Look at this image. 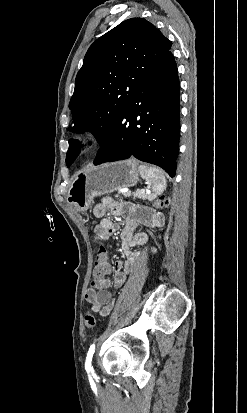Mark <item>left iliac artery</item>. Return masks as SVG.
Listing matches in <instances>:
<instances>
[{"label": "left iliac artery", "mask_w": 247, "mask_h": 413, "mask_svg": "<svg viewBox=\"0 0 247 413\" xmlns=\"http://www.w3.org/2000/svg\"><path fill=\"white\" fill-rule=\"evenodd\" d=\"M94 352H95V343H93L90 346L89 351L87 353L86 362H85L86 370L92 369L91 362H92V357H93Z\"/></svg>", "instance_id": "left-iliac-artery-1"}]
</instances>
